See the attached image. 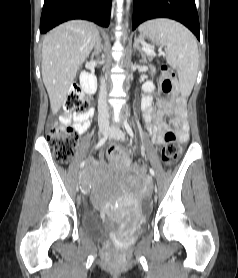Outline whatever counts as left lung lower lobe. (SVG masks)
<instances>
[{"mask_svg": "<svg viewBox=\"0 0 238 278\" xmlns=\"http://www.w3.org/2000/svg\"><path fill=\"white\" fill-rule=\"evenodd\" d=\"M154 18L179 21L200 39L195 0H134L132 30L142 22Z\"/></svg>", "mask_w": 238, "mask_h": 278, "instance_id": "obj_1", "label": "left lung lower lobe"}]
</instances>
